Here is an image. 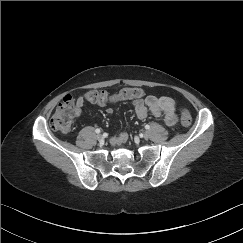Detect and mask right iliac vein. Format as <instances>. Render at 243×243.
Segmentation results:
<instances>
[{"mask_svg": "<svg viewBox=\"0 0 243 243\" xmlns=\"http://www.w3.org/2000/svg\"><path fill=\"white\" fill-rule=\"evenodd\" d=\"M102 138H103V137H102L101 134H98V135H97V139H98V140H101Z\"/></svg>", "mask_w": 243, "mask_h": 243, "instance_id": "right-iliac-vein-1", "label": "right iliac vein"}]
</instances>
